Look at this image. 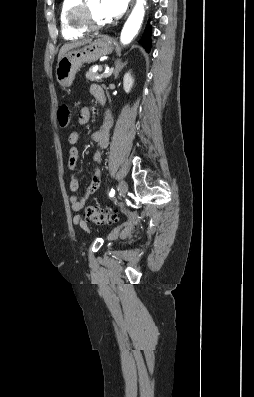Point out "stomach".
Returning a JSON list of instances; mask_svg holds the SVG:
<instances>
[{
    "label": "stomach",
    "mask_w": 254,
    "mask_h": 397,
    "mask_svg": "<svg viewBox=\"0 0 254 397\" xmlns=\"http://www.w3.org/2000/svg\"><path fill=\"white\" fill-rule=\"evenodd\" d=\"M114 41L108 36H101L88 45L67 52L56 66V79L63 87H69L76 73L84 63H92L102 56L110 54Z\"/></svg>",
    "instance_id": "1"
}]
</instances>
